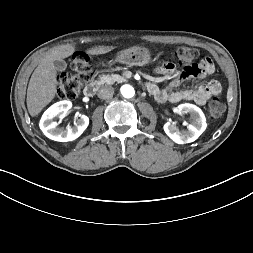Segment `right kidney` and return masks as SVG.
<instances>
[{"mask_svg": "<svg viewBox=\"0 0 253 253\" xmlns=\"http://www.w3.org/2000/svg\"><path fill=\"white\" fill-rule=\"evenodd\" d=\"M71 107L72 103L64 100L53 104L44 112L39 126L46 137L59 142H67L77 139L85 131L89 124V118L85 115H80L75 120L74 126L66 129L59 128L53 120L60 113H68Z\"/></svg>", "mask_w": 253, "mask_h": 253, "instance_id": "obj_1", "label": "right kidney"}]
</instances>
